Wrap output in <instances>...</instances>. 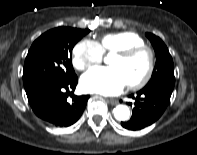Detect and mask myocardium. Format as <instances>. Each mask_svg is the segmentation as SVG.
<instances>
[{
	"label": "myocardium",
	"mask_w": 197,
	"mask_h": 155,
	"mask_svg": "<svg viewBox=\"0 0 197 155\" xmlns=\"http://www.w3.org/2000/svg\"><path fill=\"white\" fill-rule=\"evenodd\" d=\"M141 53L147 55L148 67L144 76L140 80L127 84V87L131 90L141 89L151 80L155 69V54L153 50L146 45L124 48L114 52V55L120 56L122 58H130Z\"/></svg>",
	"instance_id": "obj_1"
}]
</instances>
